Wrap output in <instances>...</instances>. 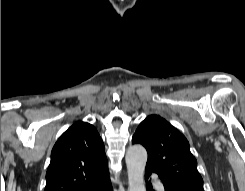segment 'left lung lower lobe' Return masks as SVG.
I'll return each mask as SVG.
<instances>
[{
	"label": "left lung lower lobe",
	"instance_id": "0a47b994",
	"mask_svg": "<svg viewBox=\"0 0 245 191\" xmlns=\"http://www.w3.org/2000/svg\"><path fill=\"white\" fill-rule=\"evenodd\" d=\"M152 174V172L145 171V179H146V186H147V191H151V183L148 182V177ZM162 183L164 184L165 191H182L166 182L161 180ZM154 191V190H152Z\"/></svg>",
	"mask_w": 245,
	"mask_h": 191
}]
</instances>
